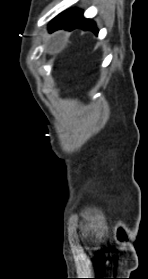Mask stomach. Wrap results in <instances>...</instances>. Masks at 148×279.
Here are the masks:
<instances>
[{
  "instance_id": "1",
  "label": "stomach",
  "mask_w": 148,
  "mask_h": 279,
  "mask_svg": "<svg viewBox=\"0 0 148 279\" xmlns=\"http://www.w3.org/2000/svg\"><path fill=\"white\" fill-rule=\"evenodd\" d=\"M43 55H58V50H43Z\"/></svg>"
}]
</instances>
